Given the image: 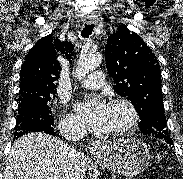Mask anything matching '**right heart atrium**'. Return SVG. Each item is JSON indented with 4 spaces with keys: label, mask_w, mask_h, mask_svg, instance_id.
<instances>
[{
    "label": "right heart atrium",
    "mask_w": 183,
    "mask_h": 179,
    "mask_svg": "<svg viewBox=\"0 0 183 179\" xmlns=\"http://www.w3.org/2000/svg\"><path fill=\"white\" fill-rule=\"evenodd\" d=\"M60 128L64 133H78L82 131L81 123L72 115H65L63 117Z\"/></svg>",
    "instance_id": "1"
}]
</instances>
